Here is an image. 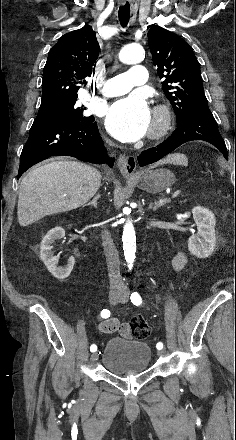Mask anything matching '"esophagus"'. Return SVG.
I'll return each mask as SVG.
<instances>
[{
    "label": "esophagus",
    "instance_id": "esophagus-1",
    "mask_svg": "<svg viewBox=\"0 0 236 440\" xmlns=\"http://www.w3.org/2000/svg\"><path fill=\"white\" fill-rule=\"evenodd\" d=\"M118 167L125 178H132L136 172V159L133 156L120 155L118 158Z\"/></svg>",
    "mask_w": 236,
    "mask_h": 440
}]
</instances>
